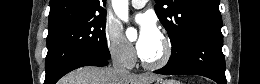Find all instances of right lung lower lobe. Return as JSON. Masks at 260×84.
Wrapping results in <instances>:
<instances>
[{
    "label": "right lung lower lobe",
    "instance_id": "98d812e1",
    "mask_svg": "<svg viewBox=\"0 0 260 84\" xmlns=\"http://www.w3.org/2000/svg\"><path fill=\"white\" fill-rule=\"evenodd\" d=\"M108 65V60L99 59L95 57H84L73 60L62 67L58 73L50 80H46L44 84H55L62 76L68 72L83 66H106Z\"/></svg>",
    "mask_w": 260,
    "mask_h": 84
}]
</instances>
